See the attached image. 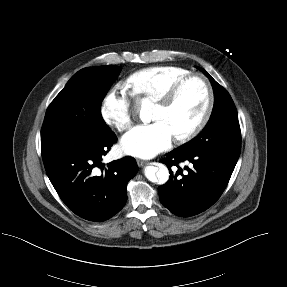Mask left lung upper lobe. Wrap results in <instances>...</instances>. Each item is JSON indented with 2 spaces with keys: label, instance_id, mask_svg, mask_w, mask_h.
Listing matches in <instances>:
<instances>
[{
  "label": "left lung upper lobe",
  "instance_id": "5c2ea615",
  "mask_svg": "<svg viewBox=\"0 0 287 287\" xmlns=\"http://www.w3.org/2000/svg\"><path fill=\"white\" fill-rule=\"evenodd\" d=\"M211 81L214 90V107L203 131L187 144L186 150H212L239 158L241 132L236 107L229 93L204 69L199 68Z\"/></svg>",
  "mask_w": 287,
  "mask_h": 287
}]
</instances>
